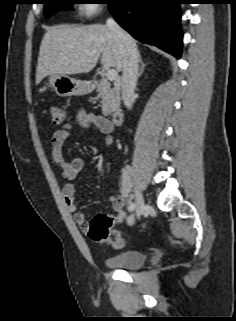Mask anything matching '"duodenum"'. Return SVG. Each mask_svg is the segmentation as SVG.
Masks as SVG:
<instances>
[{"mask_svg": "<svg viewBox=\"0 0 236 321\" xmlns=\"http://www.w3.org/2000/svg\"><path fill=\"white\" fill-rule=\"evenodd\" d=\"M98 82L96 80L91 82V87L95 88L97 86ZM110 119L113 125L115 126H121L124 120V113L122 110H114L110 114Z\"/></svg>", "mask_w": 236, "mask_h": 321, "instance_id": "obj_1", "label": "duodenum"}]
</instances>
